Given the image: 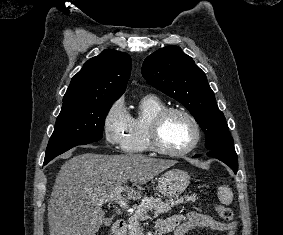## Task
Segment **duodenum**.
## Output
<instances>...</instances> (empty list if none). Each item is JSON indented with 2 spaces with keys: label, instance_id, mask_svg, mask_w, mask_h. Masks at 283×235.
<instances>
[{
  "label": "duodenum",
  "instance_id": "1",
  "mask_svg": "<svg viewBox=\"0 0 283 235\" xmlns=\"http://www.w3.org/2000/svg\"><path fill=\"white\" fill-rule=\"evenodd\" d=\"M126 227V222L122 219L116 220L111 228V235H120Z\"/></svg>",
  "mask_w": 283,
  "mask_h": 235
}]
</instances>
